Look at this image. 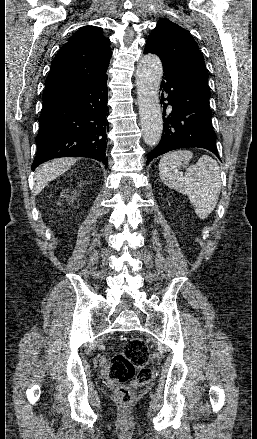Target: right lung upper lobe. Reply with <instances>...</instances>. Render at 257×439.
Segmentation results:
<instances>
[{
  "label": "right lung upper lobe",
  "instance_id": "obj_1",
  "mask_svg": "<svg viewBox=\"0 0 257 439\" xmlns=\"http://www.w3.org/2000/svg\"><path fill=\"white\" fill-rule=\"evenodd\" d=\"M102 29L85 26L72 35L52 61L42 99L97 80L106 74L112 52Z\"/></svg>",
  "mask_w": 257,
  "mask_h": 439
}]
</instances>
